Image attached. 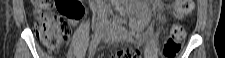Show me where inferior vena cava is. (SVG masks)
<instances>
[{"label":"inferior vena cava","mask_w":225,"mask_h":58,"mask_svg":"<svg viewBox=\"0 0 225 58\" xmlns=\"http://www.w3.org/2000/svg\"><path fill=\"white\" fill-rule=\"evenodd\" d=\"M97 2H101L100 0H98ZM98 17L100 18V19H102V20H104V19H106V14H105V12L102 10V9H99L98 10Z\"/></svg>","instance_id":"obj_1"}]
</instances>
